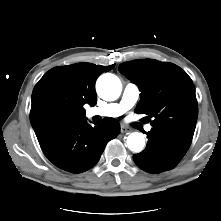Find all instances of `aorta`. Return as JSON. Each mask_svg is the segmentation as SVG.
Listing matches in <instances>:
<instances>
[{"instance_id": "762f6f07", "label": "aorta", "mask_w": 221, "mask_h": 221, "mask_svg": "<svg viewBox=\"0 0 221 221\" xmlns=\"http://www.w3.org/2000/svg\"><path fill=\"white\" fill-rule=\"evenodd\" d=\"M96 89L98 95L102 99L106 101H113L120 96L122 84L120 79L116 75L105 73L98 78ZM144 145L145 139L143 134L141 133L133 132L127 137V146L133 152L142 151Z\"/></svg>"}]
</instances>
